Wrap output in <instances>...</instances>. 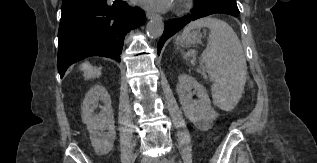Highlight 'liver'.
<instances>
[{"instance_id":"liver-1","label":"liver","mask_w":317,"mask_h":163,"mask_svg":"<svg viewBox=\"0 0 317 163\" xmlns=\"http://www.w3.org/2000/svg\"><path fill=\"white\" fill-rule=\"evenodd\" d=\"M80 70L84 73L85 79H95L101 75V67H93L89 62H84L80 65Z\"/></svg>"}]
</instances>
